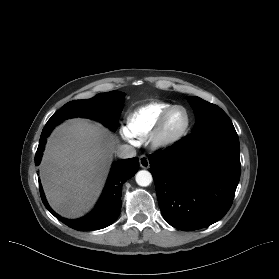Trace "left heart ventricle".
<instances>
[{
    "label": "left heart ventricle",
    "mask_w": 279,
    "mask_h": 279,
    "mask_svg": "<svg viewBox=\"0 0 279 279\" xmlns=\"http://www.w3.org/2000/svg\"><path fill=\"white\" fill-rule=\"evenodd\" d=\"M185 124V114L182 110H174L167 118L164 134L167 137L176 135Z\"/></svg>",
    "instance_id": "obj_1"
}]
</instances>
